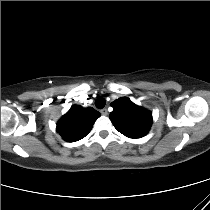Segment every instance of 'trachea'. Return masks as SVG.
<instances>
[{
    "mask_svg": "<svg viewBox=\"0 0 210 210\" xmlns=\"http://www.w3.org/2000/svg\"><path fill=\"white\" fill-rule=\"evenodd\" d=\"M106 104V101L103 97H99L95 100V105L98 109H102Z\"/></svg>",
    "mask_w": 210,
    "mask_h": 210,
    "instance_id": "1",
    "label": "trachea"
}]
</instances>
